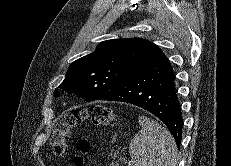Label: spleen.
Segmentation results:
<instances>
[{
	"instance_id": "spleen-1",
	"label": "spleen",
	"mask_w": 231,
	"mask_h": 166,
	"mask_svg": "<svg viewBox=\"0 0 231 166\" xmlns=\"http://www.w3.org/2000/svg\"><path fill=\"white\" fill-rule=\"evenodd\" d=\"M141 130L130 142L133 166H177L178 154L171 133L154 120L139 117Z\"/></svg>"
}]
</instances>
